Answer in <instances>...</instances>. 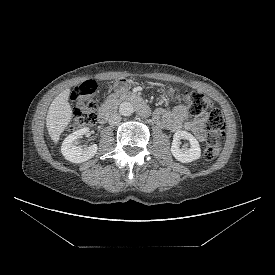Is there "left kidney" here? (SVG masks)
Returning <instances> with one entry per match:
<instances>
[{
    "mask_svg": "<svg viewBox=\"0 0 275 275\" xmlns=\"http://www.w3.org/2000/svg\"><path fill=\"white\" fill-rule=\"evenodd\" d=\"M181 139H186L189 142V147L185 145L180 148ZM171 153L178 161L189 163L200 158L201 149L199 142L192 134L186 131H177L173 135Z\"/></svg>",
    "mask_w": 275,
    "mask_h": 275,
    "instance_id": "5707ae66",
    "label": "left kidney"
}]
</instances>
